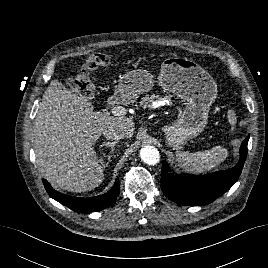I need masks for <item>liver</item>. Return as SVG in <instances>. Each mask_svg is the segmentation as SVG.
<instances>
[{
    "instance_id": "liver-1",
    "label": "liver",
    "mask_w": 268,
    "mask_h": 268,
    "mask_svg": "<svg viewBox=\"0 0 268 268\" xmlns=\"http://www.w3.org/2000/svg\"><path fill=\"white\" fill-rule=\"evenodd\" d=\"M116 125L125 130L126 137L133 135L131 118L94 111L91 102L52 80L34 123L36 163L42 175L72 192L98 187L103 182L104 169L93 145L106 128Z\"/></svg>"
}]
</instances>
